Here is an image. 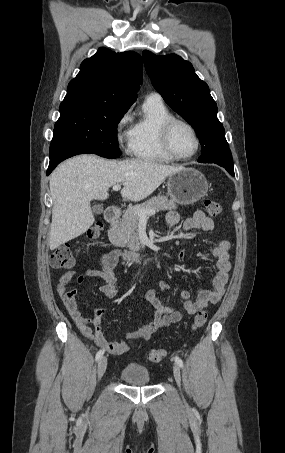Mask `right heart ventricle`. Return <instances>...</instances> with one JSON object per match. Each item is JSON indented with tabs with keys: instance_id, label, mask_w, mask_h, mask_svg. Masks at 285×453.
Instances as JSON below:
<instances>
[{
	"instance_id": "1",
	"label": "right heart ventricle",
	"mask_w": 285,
	"mask_h": 453,
	"mask_svg": "<svg viewBox=\"0 0 285 453\" xmlns=\"http://www.w3.org/2000/svg\"><path fill=\"white\" fill-rule=\"evenodd\" d=\"M171 118L172 113L162 101L147 99L130 129L129 152L142 160L173 162L175 159L166 153L160 138L162 125Z\"/></svg>"
}]
</instances>
